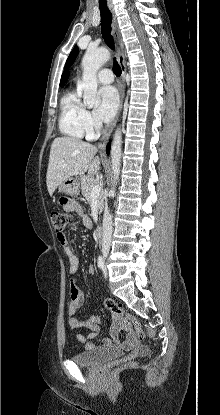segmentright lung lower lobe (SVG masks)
<instances>
[{
  "label": "right lung lower lobe",
  "instance_id": "98d812e1",
  "mask_svg": "<svg viewBox=\"0 0 220 415\" xmlns=\"http://www.w3.org/2000/svg\"><path fill=\"white\" fill-rule=\"evenodd\" d=\"M106 152H107V154H109V152H110V144L107 145Z\"/></svg>",
  "mask_w": 220,
  "mask_h": 415
}]
</instances>
